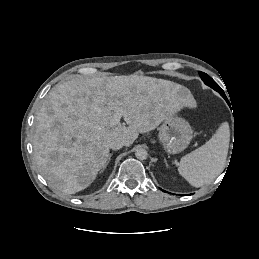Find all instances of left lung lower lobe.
I'll list each match as a JSON object with an SVG mask.
<instances>
[{"instance_id": "1", "label": "left lung lower lobe", "mask_w": 259, "mask_h": 259, "mask_svg": "<svg viewBox=\"0 0 259 259\" xmlns=\"http://www.w3.org/2000/svg\"><path fill=\"white\" fill-rule=\"evenodd\" d=\"M219 93H220V94L224 97V99L227 101V97L225 96L224 91L222 90V91H220Z\"/></svg>"}]
</instances>
